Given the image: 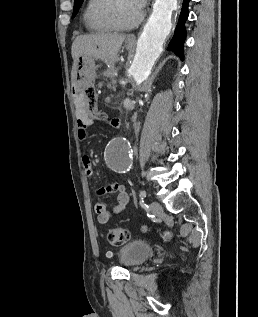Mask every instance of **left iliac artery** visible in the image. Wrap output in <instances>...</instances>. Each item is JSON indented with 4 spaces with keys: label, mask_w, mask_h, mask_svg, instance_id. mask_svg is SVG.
I'll use <instances>...</instances> for the list:
<instances>
[{
    "label": "left iliac artery",
    "mask_w": 258,
    "mask_h": 317,
    "mask_svg": "<svg viewBox=\"0 0 258 317\" xmlns=\"http://www.w3.org/2000/svg\"><path fill=\"white\" fill-rule=\"evenodd\" d=\"M139 196H140V199H141V200H144V199L147 197V192H146V190H141Z\"/></svg>",
    "instance_id": "left-iliac-artery-1"
}]
</instances>
